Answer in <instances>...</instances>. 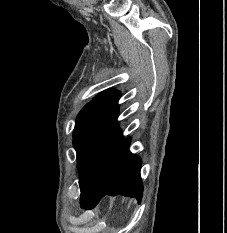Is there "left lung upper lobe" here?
<instances>
[{
  "label": "left lung upper lobe",
  "mask_w": 227,
  "mask_h": 233,
  "mask_svg": "<svg viewBox=\"0 0 227 233\" xmlns=\"http://www.w3.org/2000/svg\"><path fill=\"white\" fill-rule=\"evenodd\" d=\"M120 92L106 90L79 113L73 144L77 151L81 199L92 194L117 148L124 141L117 126Z\"/></svg>",
  "instance_id": "1"
}]
</instances>
